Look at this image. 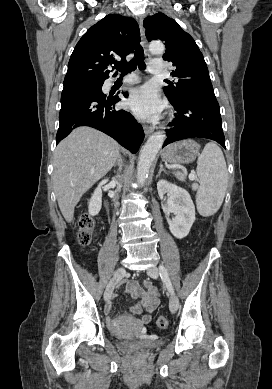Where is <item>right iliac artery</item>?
<instances>
[{
  "instance_id": "1",
  "label": "right iliac artery",
  "mask_w": 272,
  "mask_h": 389,
  "mask_svg": "<svg viewBox=\"0 0 272 389\" xmlns=\"http://www.w3.org/2000/svg\"><path fill=\"white\" fill-rule=\"evenodd\" d=\"M113 279L110 280L109 284L107 285V288L112 284Z\"/></svg>"
}]
</instances>
